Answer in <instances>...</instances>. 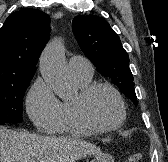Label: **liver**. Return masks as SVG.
I'll list each match as a JSON object with an SVG mask.
<instances>
[{
  "instance_id": "obj_1",
  "label": "liver",
  "mask_w": 168,
  "mask_h": 162,
  "mask_svg": "<svg viewBox=\"0 0 168 162\" xmlns=\"http://www.w3.org/2000/svg\"><path fill=\"white\" fill-rule=\"evenodd\" d=\"M100 153L98 147L80 139L0 128V162H75Z\"/></svg>"
}]
</instances>
